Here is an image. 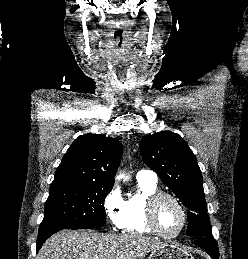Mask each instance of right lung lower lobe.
<instances>
[{
    "label": "right lung lower lobe",
    "instance_id": "1",
    "mask_svg": "<svg viewBox=\"0 0 248 259\" xmlns=\"http://www.w3.org/2000/svg\"><path fill=\"white\" fill-rule=\"evenodd\" d=\"M59 230H53V231H46L38 234L37 238V251L41 248L42 244L54 233H56Z\"/></svg>",
    "mask_w": 248,
    "mask_h": 259
}]
</instances>
